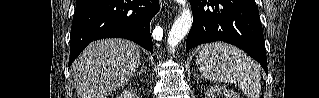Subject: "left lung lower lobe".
<instances>
[{
	"instance_id": "1",
	"label": "left lung lower lobe",
	"mask_w": 319,
	"mask_h": 98,
	"mask_svg": "<svg viewBox=\"0 0 319 98\" xmlns=\"http://www.w3.org/2000/svg\"><path fill=\"white\" fill-rule=\"evenodd\" d=\"M193 24L186 51L208 42L233 44L257 60L267 73L266 49L254 0H190Z\"/></svg>"
}]
</instances>
